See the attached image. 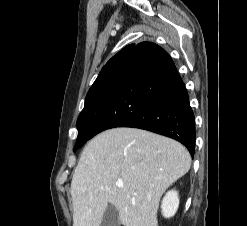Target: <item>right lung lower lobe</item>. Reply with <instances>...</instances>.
I'll use <instances>...</instances> for the list:
<instances>
[{
	"instance_id": "1",
	"label": "right lung lower lobe",
	"mask_w": 247,
	"mask_h": 226,
	"mask_svg": "<svg viewBox=\"0 0 247 226\" xmlns=\"http://www.w3.org/2000/svg\"><path fill=\"white\" fill-rule=\"evenodd\" d=\"M115 127L140 128L173 138L194 156L195 118L188 93L172 58L160 46L142 42L131 51L92 137Z\"/></svg>"
}]
</instances>
